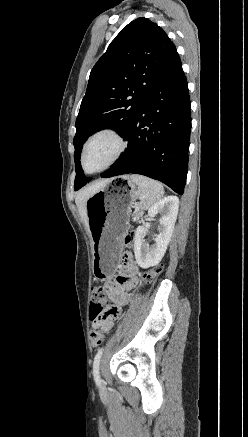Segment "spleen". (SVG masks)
I'll use <instances>...</instances> for the list:
<instances>
[{
    "label": "spleen",
    "instance_id": "1",
    "mask_svg": "<svg viewBox=\"0 0 248 437\" xmlns=\"http://www.w3.org/2000/svg\"><path fill=\"white\" fill-rule=\"evenodd\" d=\"M131 180L138 185L136 196L140 200L139 206L143 210L150 209L164 195L162 184L156 180L137 174L131 175Z\"/></svg>",
    "mask_w": 248,
    "mask_h": 437
}]
</instances>
